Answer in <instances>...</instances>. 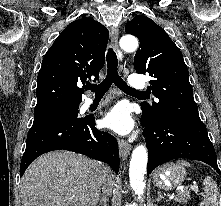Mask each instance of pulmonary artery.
<instances>
[{"instance_id":"pulmonary-artery-1","label":"pulmonary artery","mask_w":221,"mask_h":206,"mask_svg":"<svg viewBox=\"0 0 221 206\" xmlns=\"http://www.w3.org/2000/svg\"><path fill=\"white\" fill-rule=\"evenodd\" d=\"M129 86L134 90L144 89L146 86L145 79L141 75L131 74L128 78ZM92 103L91 100L88 101V105Z\"/></svg>"}]
</instances>
